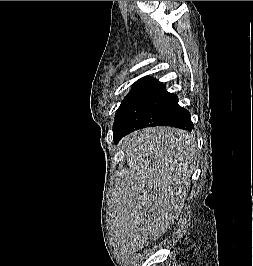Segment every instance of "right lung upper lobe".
I'll use <instances>...</instances> for the list:
<instances>
[{"mask_svg":"<svg viewBox=\"0 0 253 266\" xmlns=\"http://www.w3.org/2000/svg\"><path fill=\"white\" fill-rule=\"evenodd\" d=\"M161 86L162 87L164 86L161 82H159L158 80H155L154 78L150 76L149 77L146 76L144 78L139 79L138 81L134 83L133 88L131 89V92L129 94L156 88V87H161Z\"/></svg>","mask_w":253,"mask_h":266,"instance_id":"right-lung-upper-lobe-1","label":"right lung upper lobe"}]
</instances>
